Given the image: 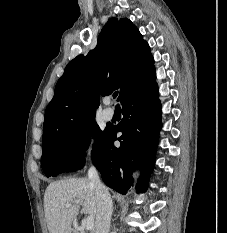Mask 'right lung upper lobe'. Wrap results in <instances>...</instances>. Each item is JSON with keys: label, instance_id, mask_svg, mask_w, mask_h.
<instances>
[{"label": "right lung upper lobe", "instance_id": "1", "mask_svg": "<svg viewBox=\"0 0 227 233\" xmlns=\"http://www.w3.org/2000/svg\"><path fill=\"white\" fill-rule=\"evenodd\" d=\"M155 83L154 60L149 45L127 18H111L97 46L87 56L68 63L45 111L42 145L93 121L99 95L120 89L124 103Z\"/></svg>", "mask_w": 227, "mask_h": 233}]
</instances>
